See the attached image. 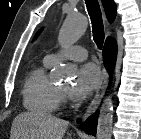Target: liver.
I'll use <instances>...</instances> for the list:
<instances>
[{
	"label": "liver",
	"instance_id": "6515ba94",
	"mask_svg": "<svg viewBox=\"0 0 141 139\" xmlns=\"http://www.w3.org/2000/svg\"><path fill=\"white\" fill-rule=\"evenodd\" d=\"M68 128L66 120L50 114L24 112L11 127V139H62Z\"/></svg>",
	"mask_w": 141,
	"mask_h": 139
}]
</instances>
